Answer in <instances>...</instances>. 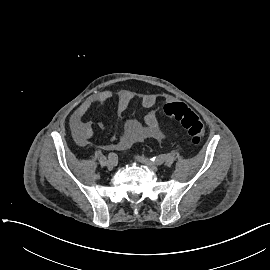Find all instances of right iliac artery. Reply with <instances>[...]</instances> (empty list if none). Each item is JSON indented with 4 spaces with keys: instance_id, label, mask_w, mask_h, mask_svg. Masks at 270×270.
Wrapping results in <instances>:
<instances>
[{
    "instance_id": "82829eb1",
    "label": "right iliac artery",
    "mask_w": 270,
    "mask_h": 270,
    "mask_svg": "<svg viewBox=\"0 0 270 270\" xmlns=\"http://www.w3.org/2000/svg\"><path fill=\"white\" fill-rule=\"evenodd\" d=\"M108 159L111 160V161H113V162H117L118 156H117L116 153L111 152V153H109V155H108Z\"/></svg>"
}]
</instances>
